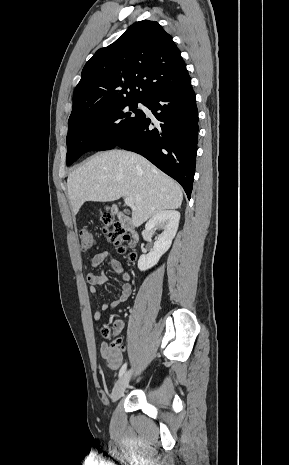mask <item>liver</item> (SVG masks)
Wrapping results in <instances>:
<instances>
[{
	"mask_svg": "<svg viewBox=\"0 0 289 465\" xmlns=\"http://www.w3.org/2000/svg\"><path fill=\"white\" fill-rule=\"evenodd\" d=\"M67 186L74 214L86 201L133 198L132 224L135 227L157 212L179 208L183 200L182 190L173 179L144 157L123 150L94 155L70 173Z\"/></svg>",
	"mask_w": 289,
	"mask_h": 465,
	"instance_id": "1",
	"label": "liver"
}]
</instances>
